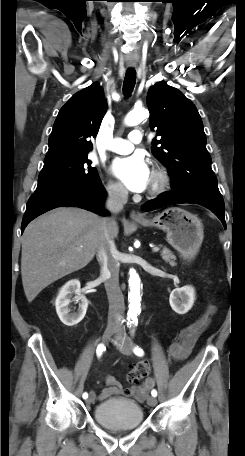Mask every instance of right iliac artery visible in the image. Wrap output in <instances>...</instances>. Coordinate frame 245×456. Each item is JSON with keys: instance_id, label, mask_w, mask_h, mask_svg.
<instances>
[{"instance_id": "right-iliac-artery-1", "label": "right iliac artery", "mask_w": 245, "mask_h": 456, "mask_svg": "<svg viewBox=\"0 0 245 456\" xmlns=\"http://www.w3.org/2000/svg\"><path fill=\"white\" fill-rule=\"evenodd\" d=\"M105 350H106V347L104 346V344H99L97 349H96L97 356L100 357L102 355L103 351H105ZM82 397L84 399H87L88 398V393H86V392L83 393Z\"/></svg>"}]
</instances>
